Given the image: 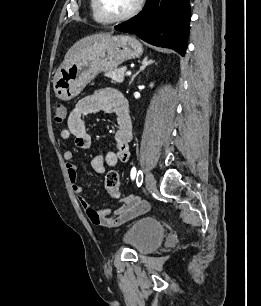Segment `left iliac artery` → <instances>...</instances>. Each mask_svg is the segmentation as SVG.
<instances>
[{"label":"left iliac artery","instance_id":"1","mask_svg":"<svg viewBox=\"0 0 261 306\" xmlns=\"http://www.w3.org/2000/svg\"><path fill=\"white\" fill-rule=\"evenodd\" d=\"M136 176V168L133 167L131 170V179H134ZM143 181V173L142 171H138L137 172V185L140 186L142 184Z\"/></svg>","mask_w":261,"mask_h":306}]
</instances>
